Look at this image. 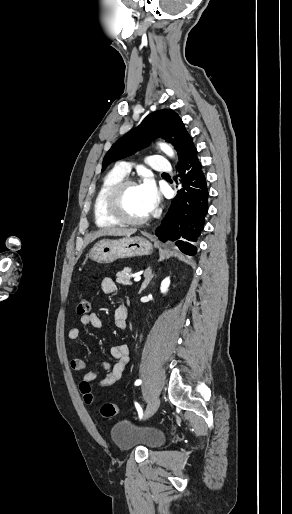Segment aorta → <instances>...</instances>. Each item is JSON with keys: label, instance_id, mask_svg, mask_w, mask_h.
Wrapping results in <instances>:
<instances>
[{"label": "aorta", "instance_id": "762f6f07", "mask_svg": "<svg viewBox=\"0 0 292 514\" xmlns=\"http://www.w3.org/2000/svg\"><path fill=\"white\" fill-rule=\"evenodd\" d=\"M160 146V150H162V152H164V154H167V156H174V152L171 148V146H169V144H159Z\"/></svg>", "mask_w": 292, "mask_h": 514}]
</instances>
